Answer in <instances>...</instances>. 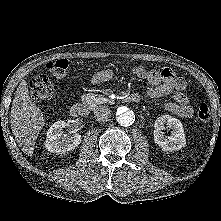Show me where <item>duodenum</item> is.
Masks as SVG:
<instances>
[{
  "instance_id": "410a0bca",
  "label": "duodenum",
  "mask_w": 221,
  "mask_h": 221,
  "mask_svg": "<svg viewBox=\"0 0 221 221\" xmlns=\"http://www.w3.org/2000/svg\"><path fill=\"white\" fill-rule=\"evenodd\" d=\"M126 100L131 103H137L140 100L138 94H130L126 97ZM90 102L76 103L70 108V114L73 117H84L88 114Z\"/></svg>"
}]
</instances>
